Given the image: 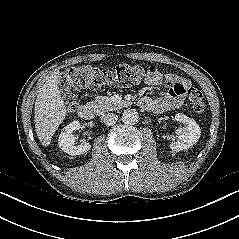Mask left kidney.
Segmentation results:
<instances>
[{
  "instance_id": "left-kidney-1",
  "label": "left kidney",
  "mask_w": 239,
  "mask_h": 239,
  "mask_svg": "<svg viewBox=\"0 0 239 239\" xmlns=\"http://www.w3.org/2000/svg\"><path fill=\"white\" fill-rule=\"evenodd\" d=\"M175 120L182 123L184 127L177 130L179 139L170 144V149L179 152L190 148L198 142L201 136V129L194 119L182 113H177L175 115Z\"/></svg>"
}]
</instances>
